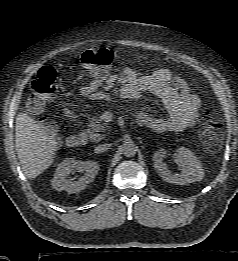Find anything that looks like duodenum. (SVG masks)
Wrapping results in <instances>:
<instances>
[{
	"label": "duodenum",
	"instance_id": "obj_1",
	"mask_svg": "<svg viewBox=\"0 0 238 261\" xmlns=\"http://www.w3.org/2000/svg\"><path fill=\"white\" fill-rule=\"evenodd\" d=\"M87 143V135L85 133H77L70 135L67 139L68 146L72 148L82 147Z\"/></svg>",
	"mask_w": 238,
	"mask_h": 261
}]
</instances>
